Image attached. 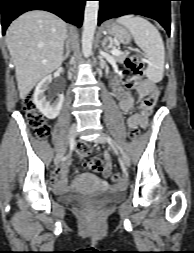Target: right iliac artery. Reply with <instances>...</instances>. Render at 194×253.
Listing matches in <instances>:
<instances>
[{"mask_svg": "<svg viewBox=\"0 0 194 253\" xmlns=\"http://www.w3.org/2000/svg\"><path fill=\"white\" fill-rule=\"evenodd\" d=\"M73 144H74V140L73 139H70V147L72 148L73 147ZM66 157L63 158V160H65Z\"/></svg>", "mask_w": 194, "mask_h": 253, "instance_id": "82829eb1", "label": "right iliac artery"}]
</instances>
